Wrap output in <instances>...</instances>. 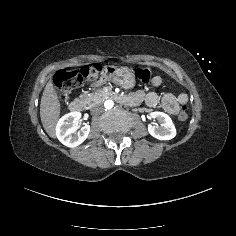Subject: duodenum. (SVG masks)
<instances>
[{
	"mask_svg": "<svg viewBox=\"0 0 236 236\" xmlns=\"http://www.w3.org/2000/svg\"><path fill=\"white\" fill-rule=\"evenodd\" d=\"M116 99L119 102L128 104V105H137L138 99L134 96H123V95H116ZM69 109L73 113H80L84 109V102L81 99H75L69 104Z\"/></svg>",
	"mask_w": 236,
	"mask_h": 236,
	"instance_id": "duodenum-1",
	"label": "duodenum"
}]
</instances>
